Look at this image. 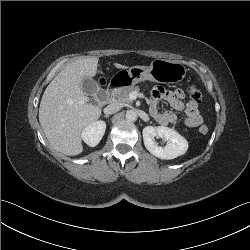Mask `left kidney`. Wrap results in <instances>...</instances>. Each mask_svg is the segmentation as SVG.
<instances>
[{"label": "left kidney", "instance_id": "obj_1", "mask_svg": "<svg viewBox=\"0 0 250 250\" xmlns=\"http://www.w3.org/2000/svg\"><path fill=\"white\" fill-rule=\"evenodd\" d=\"M143 141L146 149L160 159H174L183 155L188 149L187 140L175 130L164 126H147L142 131ZM161 138L166 142L165 146H160L156 141Z\"/></svg>", "mask_w": 250, "mask_h": 250}]
</instances>
